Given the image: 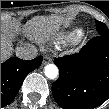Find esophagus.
I'll return each instance as SVG.
<instances>
[{
    "label": "esophagus",
    "mask_w": 109,
    "mask_h": 109,
    "mask_svg": "<svg viewBox=\"0 0 109 109\" xmlns=\"http://www.w3.org/2000/svg\"><path fill=\"white\" fill-rule=\"evenodd\" d=\"M52 61V59L49 56H44L43 58V64H48Z\"/></svg>",
    "instance_id": "34e87169"
}]
</instances>
